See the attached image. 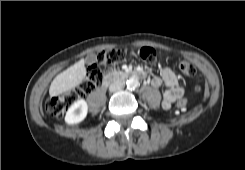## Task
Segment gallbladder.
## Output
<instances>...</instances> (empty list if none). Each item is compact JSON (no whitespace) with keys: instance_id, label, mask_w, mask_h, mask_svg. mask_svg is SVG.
<instances>
[{"instance_id":"1","label":"gallbladder","mask_w":245,"mask_h":170,"mask_svg":"<svg viewBox=\"0 0 245 170\" xmlns=\"http://www.w3.org/2000/svg\"><path fill=\"white\" fill-rule=\"evenodd\" d=\"M97 61V56L95 54H89L87 57H86V62L88 64H92L94 62Z\"/></svg>"}]
</instances>
